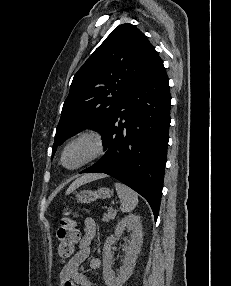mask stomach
<instances>
[{
	"instance_id": "0dacf381",
	"label": "stomach",
	"mask_w": 231,
	"mask_h": 286,
	"mask_svg": "<svg viewBox=\"0 0 231 286\" xmlns=\"http://www.w3.org/2000/svg\"><path fill=\"white\" fill-rule=\"evenodd\" d=\"M110 189L106 187L99 188L98 190H83L76 195L78 203L88 204L97 199H106L110 197Z\"/></svg>"
}]
</instances>
